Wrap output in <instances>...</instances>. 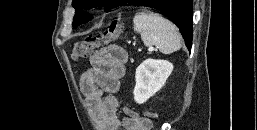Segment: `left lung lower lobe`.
I'll use <instances>...</instances> for the list:
<instances>
[{"label":"left lung lower lobe","mask_w":257,"mask_h":130,"mask_svg":"<svg viewBox=\"0 0 257 130\" xmlns=\"http://www.w3.org/2000/svg\"><path fill=\"white\" fill-rule=\"evenodd\" d=\"M193 0H137L135 4L150 7L171 20L180 30L189 50L192 46Z\"/></svg>","instance_id":"1"}]
</instances>
